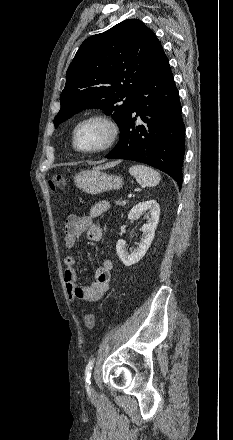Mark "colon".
<instances>
[{"label": "colon", "mask_w": 233, "mask_h": 440, "mask_svg": "<svg viewBox=\"0 0 233 440\" xmlns=\"http://www.w3.org/2000/svg\"><path fill=\"white\" fill-rule=\"evenodd\" d=\"M64 186V178L60 174H55L49 179V187L53 192L61 190ZM84 323L87 329L91 330L96 324L95 316L90 313L85 316Z\"/></svg>", "instance_id": "1"}]
</instances>
